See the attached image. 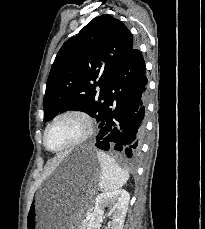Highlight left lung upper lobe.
Returning a JSON list of instances; mask_svg holds the SVG:
<instances>
[{"label": "left lung upper lobe", "instance_id": "left-lung-upper-lobe-1", "mask_svg": "<svg viewBox=\"0 0 205 229\" xmlns=\"http://www.w3.org/2000/svg\"><path fill=\"white\" fill-rule=\"evenodd\" d=\"M133 47L128 28L108 14L94 18L67 40L47 80L44 122L67 110L84 111L99 122L109 99L108 90ZM97 86L100 91H96Z\"/></svg>", "mask_w": 205, "mask_h": 229}]
</instances>
